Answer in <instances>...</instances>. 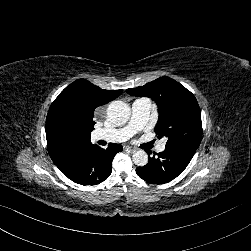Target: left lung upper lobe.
Here are the masks:
<instances>
[{"label":"left lung upper lobe","mask_w":251,"mask_h":251,"mask_svg":"<svg viewBox=\"0 0 251 251\" xmlns=\"http://www.w3.org/2000/svg\"><path fill=\"white\" fill-rule=\"evenodd\" d=\"M126 92L137 97H149L157 103L159 119L155 132L158 138L167 137L166 146L198 149L202 139L200 108L195 96L183 85L163 76Z\"/></svg>","instance_id":"5c2ea615"}]
</instances>
